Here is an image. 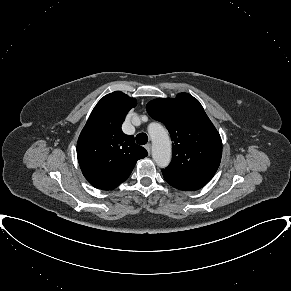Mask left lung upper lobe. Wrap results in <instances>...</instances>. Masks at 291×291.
Masks as SVG:
<instances>
[{"instance_id":"5c2ea615","label":"left lung upper lobe","mask_w":291,"mask_h":291,"mask_svg":"<svg viewBox=\"0 0 291 291\" xmlns=\"http://www.w3.org/2000/svg\"><path fill=\"white\" fill-rule=\"evenodd\" d=\"M149 115L162 122L173 141L172 161L164 171L192 181L208 183L222 155V141L197 99L187 93L160 98L146 105Z\"/></svg>"}]
</instances>
